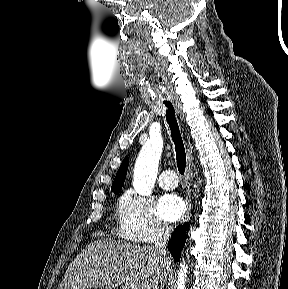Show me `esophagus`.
Returning a JSON list of instances; mask_svg holds the SVG:
<instances>
[{
    "mask_svg": "<svg viewBox=\"0 0 288 289\" xmlns=\"http://www.w3.org/2000/svg\"><path fill=\"white\" fill-rule=\"evenodd\" d=\"M175 106H176V109H177V112L180 116L181 121H183L184 120V114L181 110V106H180L179 102H175ZM192 159H193L192 147H191V145H188L187 166H186V171H185V180L188 184H189V179H190L189 175L191 172ZM186 204H187V211H186L185 218H184L185 221H187L191 217V209H192L189 186H188V189L186 191Z\"/></svg>",
    "mask_w": 288,
    "mask_h": 289,
    "instance_id": "obj_1",
    "label": "esophagus"
}]
</instances>
